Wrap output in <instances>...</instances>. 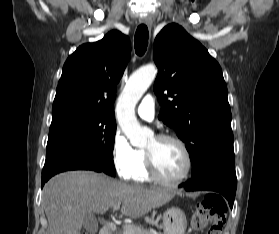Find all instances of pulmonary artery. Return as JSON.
Instances as JSON below:
<instances>
[{
  "label": "pulmonary artery",
  "mask_w": 279,
  "mask_h": 234,
  "mask_svg": "<svg viewBox=\"0 0 279 234\" xmlns=\"http://www.w3.org/2000/svg\"><path fill=\"white\" fill-rule=\"evenodd\" d=\"M138 115L147 121H152L155 116V98L151 94H147L142 99L137 108Z\"/></svg>",
  "instance_id": "pulmonary-artery-1"
}]
</instances>
